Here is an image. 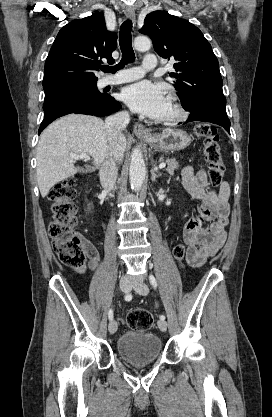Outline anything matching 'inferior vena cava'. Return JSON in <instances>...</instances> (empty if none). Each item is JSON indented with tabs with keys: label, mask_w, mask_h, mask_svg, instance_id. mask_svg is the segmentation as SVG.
Returning <instances> with one entry per match:
<instances>
[{
	"label": "inferior vena cava",
	"mask_w": 272,
	"mask_h": 417,
	"mask_svg": "<svg viewBox=\"0 0 272 417\" xmlns=\"http://www.w3.org/2000/svg\"><path fill=\"white\" fill-rule=\"evenodd\" d=\"M130 115L126 111L117 112L105 120V128L107 129L110 140L114 142L122 134V130L129 124ZM118 175L116 161L112 155L106 157L100 167L99 176L101 186L104 190L110 191L114 188Z\"/></svg>",
	"instance_id": "obj_1"
}]
</instances>
